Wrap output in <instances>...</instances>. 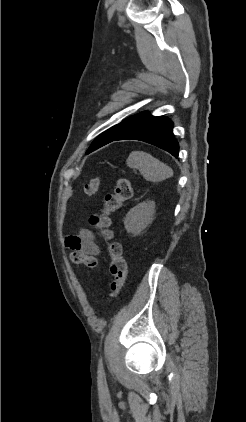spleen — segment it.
I'll use <instances>...</instances> for the list:
<instances>
[{
    "label": "spleen",
    "instance_id": "obj_1",
    "mask_svg": "<svg viewBox=\"0 0 246 422\" xmlns=\"http://www.w3.org/2000/svg\"><path fill=\"white\" fill-rule=\"evenodd\" d=\"M126 164L138 169L147 181L159 182L173 176V170L168 165L144 151L131 152Z\"/></svg>",
    "mask_w": 246,
    "mask_h": 422
}]
</instances>
